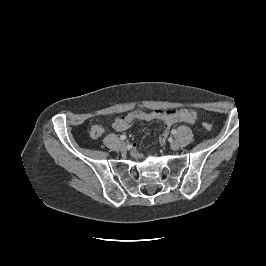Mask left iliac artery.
I'll list each match as a JSON object with an SVG mask.
<instances>
[{
	"label": "left iliac artery",
	"instance_id": "left-iliac-artery-1",
	"mask_svg": "<svg viewBox=\"0 0 266 266\" xmlns=\"http://www.w3.org/2000/svg\"><path fill=\"white\" fill-rule=\"evenodd\" d=\"M171 133H172L173 135H175L177 132H176L175 129H172Z\"/></svg>",
	"mask_w": 266,
	"mask_h": 266
}]
</instances>
